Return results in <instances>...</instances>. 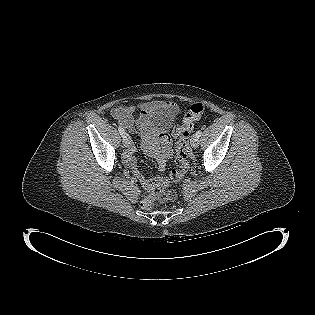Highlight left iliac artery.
Here are the masks:
<instances>
[{"instance_id": "left-iliac-artery-1", "label": "left iliac artery", "mask_w": 315, "mask_h": 315, "mask_svg": "<svg viewBox=\"0 0 315 315\" xmlns=\"http://www.w3.org/2000/svg\"><path fill=\"white\" fill-rule=\"evenodd\" d=\"M201 134H202V132L200 130H198L195 135L199 138L201 136Z\"/></svg>"}]
</instances>
